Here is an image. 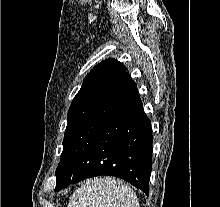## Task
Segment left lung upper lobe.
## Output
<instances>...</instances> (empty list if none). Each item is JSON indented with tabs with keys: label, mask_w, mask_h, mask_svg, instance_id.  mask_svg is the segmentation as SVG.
Instances as JSON below:
<instances>
[{
	"label": "left lung upper lobe",
	"mask_w": 220,
	"mask_h": 207,
	"mask_svg": "<svg viewBox=\"0 0 220 207\" xmlns=\"http://www.w3.org/2000/svg\"><path fill=\"white\" fill-rule=\"evenodd\" d=\"M125 72L126 67L123 64L107 59L88 73L68 111L63 149L78 127Z\"/></svg>",
	"instance_id": "obj_1"
}]
</instances>
